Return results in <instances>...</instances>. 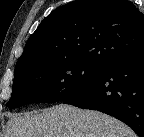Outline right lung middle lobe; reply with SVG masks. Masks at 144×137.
Listing matches in <instances>:
<instances>
[{
  "instance_id": "obj_1",
  "label": "right lung middle lobe",
  "mask_w": 144,
  "mask_h": 137,
  "mask_svg": "<svg viewBox=\"0 0 144 137\" xmlns=\"http://www.w3.org/2000/svg\"><path fill=\"white\" fill-rule=\"evenodd\" d=\"M105 67L64 59L31 63L15 68L12 96L7 106L64 101L101 77Z\"/></svg>"
}]
</instances>
